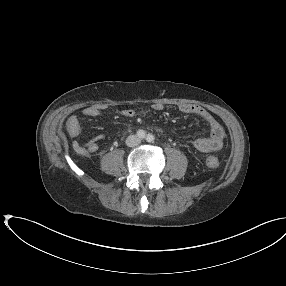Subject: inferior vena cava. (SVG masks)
Returning <instances> with one entry per match:
<instances>
[{
  "label": "inferior vena cava",
  "mask_w": 286,
  "mask_h": 286,
  "mask_svg": "<svg viewBox=\"0 0 286 286\" xmlns=\"http://www.w3.org/2000/svg\"><path fill=\"white\" fill-rule=\"evenodd\" d=\"M140 143V139L135 136V135H131L127 138L126 144L130 147L136 146Z\"/></svg>",
  "instance_id": "inferior-vena-cava-1"
}]
</instances>
